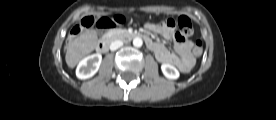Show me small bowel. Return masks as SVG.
<instances>
[{
  "instance_id": "1",
  "label": "small bowel",
  "mask_w": 276,
  "mask_h": 120,
  "mask_svg": "<svg viewBox=\"0 0 276 120\" xmlns=\"http://www.w3.org/2000/svg\"><path fill=\"white\" fill-rule=\"evenodd\" d=\"M148 31L158 33L166 40H172L176 54L170 52L164 45L159 42L152 41L149 37L150 43L148 47L154 52L157 60L162 63H169L176 65L183 73L191 70L194 64L191 55V43L186 39L179 37L174 27H166L163 24L155 25L148 23L145 25Z\"/></svg>"
}]
</instances>
